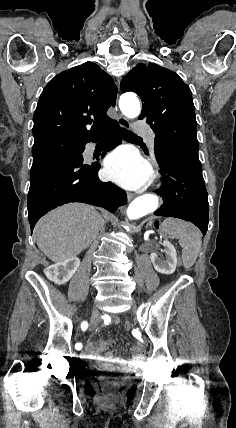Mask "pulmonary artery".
<instances>
[{
	"instance_id": "pulmonary-artery-1",
	"label": "pulmonary artery",
	"mask_w": 236,
	"mask_h": 428,
	"mask_svg": "<svg viewBox=\"0 0 236 428\" xmlns=\"http://www.w3.org/2000/svg\"><path fill=\"white\" fill-rule=\"evenodd\" d=\"M148 141L149 143L153 144L155 141V135L148 137ZM87 150L92 152L94 150V147L92 145L88 146Z\"/></svg>"
}]
</instances>
